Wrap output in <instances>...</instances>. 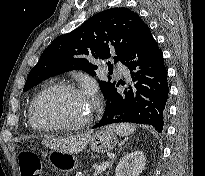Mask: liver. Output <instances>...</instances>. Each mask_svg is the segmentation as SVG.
<instances>
[{"mask_svg": "<svg viewBox=\"0 0 205 176\" xmlns=\"http://www.w3.org/2000/svg\"><path fill=\"white\" fill-rule=\"evenodd\" d=\"M91 132L82 133L68 138L51 139L44 143L53 150L64 151L68 153L81 152L89 143Z\"/></svg>", "mask_w": 205, "mask_h": 176, "instance_id": "liver-1", "label": "liver"}]
</instances>
